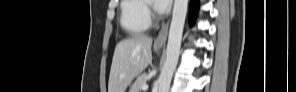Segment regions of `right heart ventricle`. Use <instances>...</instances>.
Returning <instances> with one entry per match:
<instances>
[{"label": "right heart ventricle", "instance_id": "e07e8e85", "mask_svg": "<svg viewBox=\"0 0 296 92\" xmlns=\"http://www.w3.org/2000/svg\"><path fill=\"white\" fill-rule=\"evenodd\" d=\"M120 24L130 35L144 33L150 26L146 1L123 0L121 2Z\"/></svg>", "mask_w": 296, "mask_h": 92}]
</instances>
